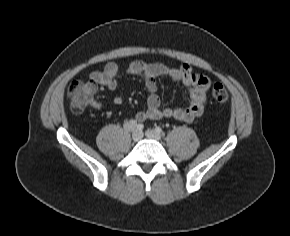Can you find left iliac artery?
<instances>
[{"mask_svg": "<svg viewBox=\"0 0 290 236\" xmlns=\"http://www.w3.org/2000/svg\"><path fill=\"white\" fill-rule=\"evenodd\" d=\"M155 130H156V132H158V133H162V128L159 127V126H157V127L155 128Z\"/></svg>", "mask_w": 290, "mask_h": 236, "instance_id": "left-iliac-artery-1", "label": "left iliac artery"}]
</instances>
